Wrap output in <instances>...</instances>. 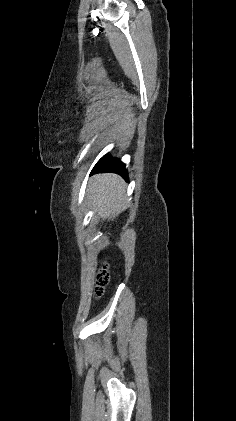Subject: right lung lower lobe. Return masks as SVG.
Masks as SVG:
<instances>
[{
    "label": "right lung lower lobe",
    "mask_w": 236,
    "mask_h": 421,
    "mask_svg": "<svg viewBox=\"0 0 236 421\" xmlns=\"http://www.w3.org/2000/svg\"><path fill=\"white\" fill-rule=\"evenodd\" d=\"M96 172H114L127 179L125 164L118 159L111 158L108 154L103 156L94 166L92 173Z\"/></svg>",
    "instance_id": "98d812e1"
}]
</instances>
